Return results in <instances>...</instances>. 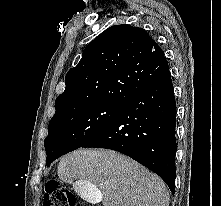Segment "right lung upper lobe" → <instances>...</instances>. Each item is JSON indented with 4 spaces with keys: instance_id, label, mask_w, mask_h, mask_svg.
Listing matches in <instances>:
<instances>
[{
    "instance_id": "1",
    "label": "right lung upper lobe",
    "mask_w": 221,
    "mask_h": 206,
    "mask_svg": "<svg viewBox=\"0 0 221 206\" xmlns=\"http://www.w3.org/2000/svg\"><path fill=\"white\" fill-rule=\"evenodd\" d=\"M168 70L163 51L144 29L112 26L84 49L78 65L66 74L56 113L94 103L123 105Z\"/></svg>"
}]
</instances>
